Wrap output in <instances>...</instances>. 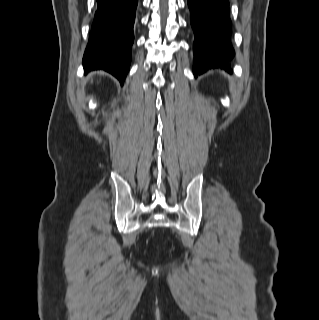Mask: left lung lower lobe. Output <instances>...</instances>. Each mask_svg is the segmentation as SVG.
<instances>
[{
    "instance_id": "0a47b994",
    "label": "left lung lower lobe",
    "mask_w": 319,
    "mask_h": 320,
    "mask_svg": "<svg viewBox=\"0 0 319 320\" xmlns=\"http://www.w3.org/2000/svg\"><path fill=\"white\" fill-rule=\"evenodd\" d=\"M188 6L195 34L194 74L216 67L231 71L235 52L229 41V0H188Z\"/></svg>"
}]
</instances>
